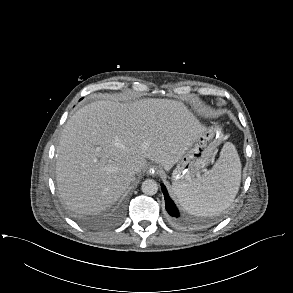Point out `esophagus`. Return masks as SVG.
Wrapping results in <instances>:
<instances>
[{
  "label": "esophagus",
  "instance_id": "esophagus-1",
  "mask_svg": "<svg viewBox=\"0 0 293 293\" xmlns=\"http://www.w3.org/2000/svg\"><path fill=\"white\" fill-rule=\"evenodd\" d=\"M148 172L152 175V176H155L157 174H159L161 172V168L157 165H152Z\"/></svg>",
  "mask_w": 293,
  "mask_h": 293
}]
</instances>
